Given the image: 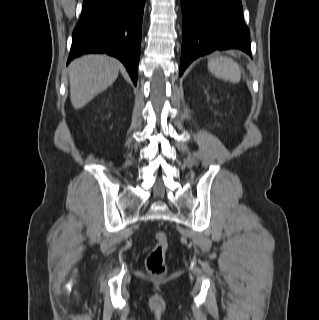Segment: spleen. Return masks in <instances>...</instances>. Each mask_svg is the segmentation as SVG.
<instances>
[{
    "label": "spleen",
    "instance_id": "obj_1",
    "mask_svg": "<svg viewBox=\"0 0 319 320\" xmlns=\"http://www.w3.org/2000/svg\"><path fill=\"white\" fill-rule=\"evenodd\" d=\"M208 69L217 77H221L230 82L237 83L241 79L242 70L231 58L220 57L208 61Z\"/></svg>",
    "mask_w": 319,
    "mask_h": 320
}]
</instances>
